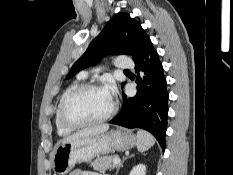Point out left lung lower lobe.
<instances>
[{
    "instance_id": "1",
    "label": "left lung lower lobe",
    "mask_w": 233,
    "mask_h": 175,
    "mask_svg": "<svg viewBox=\"0 0 233 175\" xmlns=\"http://www.w3.org/2000/svg\"><path fill=\"white\" fill-rule=\"evenodd\" d=\"M137 93L134 97L123 94L121 111L110 123L126 128L149 131L165 149L168 117V91L164 70L153 44L135 60ZM139 71L142 76H139Z\"/></svg>"
}]
</instances>
